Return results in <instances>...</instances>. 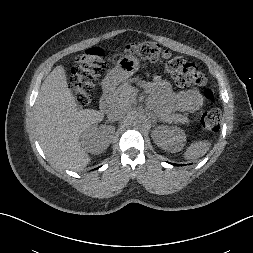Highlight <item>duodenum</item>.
Instances as JSON below:
<instances>
[{
    "mask_svg": "<svg viewBox=\"0 0 253 253\" xmlns=\"http://www.w3.org/2000/svg\"><path fill=\"white\" fill-rule=\"evenodd\" d=\"M113 81L107 79L103 83V93L100 100V105L103 110H110L113 106L112 92H113Z\"/></svg>",
    "mask_w": 253,
    "mask_h": 253,
    "instance_id": "duodenum-1",
    "label": "duodenum"
}]
</instances>
